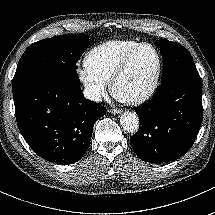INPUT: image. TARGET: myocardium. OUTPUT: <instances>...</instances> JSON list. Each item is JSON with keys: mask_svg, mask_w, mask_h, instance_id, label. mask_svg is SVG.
<instances>
[{"mask_svg": "<svg viewBox=\"0 0 215 215\" xmlns=\"http://www.w3.org/2000/svg\"><path fill=\"white\" fill-rule=\"evenodd\" d=\"M143 46L151 47L156 54L157 63H156L155 71L151 75V77L148 80V83L146 84L145 88L139 95H137L136 97L131 98V99H121V98L117 97V95L115 93L116 85H117L118 81L121 79V77L127 71L134 54L137 52L138 49H140ZM161 71H162V57H161V54H160L158 48L150 42L137 43L125 54V56L120 61L118 67L116 68L114 74L112 75L111 80H110V92L116 100H118L119 102L124 103L128 106L141 105L152 96V94L157 86V83L159 81Z\"/></svg>", "mask_w": 215, "mask_h": 215, "instance_id": "obj_1", "label": "myocardium"}]
</instances>
